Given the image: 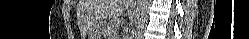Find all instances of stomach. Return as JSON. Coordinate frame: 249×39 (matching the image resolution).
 <instances>
[{
	"label": "stomach",
	"instance_id": "1",
	"mask_svg": "<svg viewBox=\"0 0 249 39\" xmlns=\"http://www.w3.org/2000/svg\"><path fill=\"white\" fill-rule=\"evenodd\" d=\"M104 28V22H96L89 26L88 36L90 39H99Z\"/></svg>",
	"mask_w": 249,
	"mask_h": 39
}]
</instances>
